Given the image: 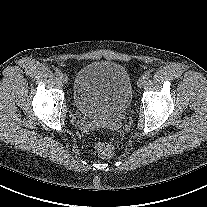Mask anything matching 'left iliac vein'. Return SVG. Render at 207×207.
<instances>
[{
	"mask_svg": "<svg viewBox=\"0 0 207 207\" xmlns=\"http://www.w3.org/2000/svg\"><path fill=\"white\" fill-rule=\"evenodd\" d=\"M145 83H146V78L143 76V77H140V78L138 79L137 85H138L139 87H142V86L145 85Z\"/></svg>",
	"mask_w": 207,
	"mask_h": 207,
	"instance_id": "obj_1",
	"label": "left iliac vein"
}]
</instances>
